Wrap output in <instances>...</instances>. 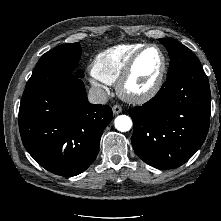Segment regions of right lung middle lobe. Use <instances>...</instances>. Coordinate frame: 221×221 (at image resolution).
<instances>
[{
    "label": "right lung middle lobe",
    "mask_w": 221,
    "mask_h": 221,
    "mask_svg": "<svg viewBox=\"0 0 221 221\" xmlns=\"http://www.w3.org/2000/svg\"><path fill=\"white\" fill-rule=\"evenodd\" d=\"M81 56L79 43L63 44L48 51L38 61L31 77H63L73 74ZM76 76L83 77L82 71Z\"/></svg>",
    "instance_id": "1"
}]
</instances>
